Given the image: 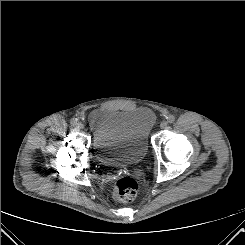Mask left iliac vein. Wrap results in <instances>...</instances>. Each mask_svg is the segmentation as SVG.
<instances>
[{
    "label": "left iliac vein",
    "instance_id": "4c4485c4",
    "mask_svg": "<svg viewBox=\"0 0 245 245\" xmlns=\"http://www.w3.org/2000/svg\"><path fill=\"white\" fill-rule=\"evenodd\" d=\"M168 123L167 121L163 120L161 123H160V128L161 129H165L167 127Z\"/></svg>",
    "mask_w": 245,
    "mask_h": 245
}]
</instances>
